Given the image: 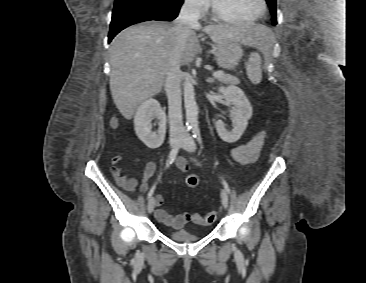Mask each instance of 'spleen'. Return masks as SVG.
<instances>
[{"label": "spleen", "mask_w": 366, "mask_h": 283, "mask_svg": "<svg viewBox=\"0 0 366 283\" xmlns=\"http://www.w3.org/2000/svg\"><path fill=\"white\" fill-rule=\"evenodd\" d=\"M247 76L253 84H259L262 80L261 57L258 52L250 55L246 65Z\"/></svg>", "instance_id": "3e777b00"}]
</instances>
